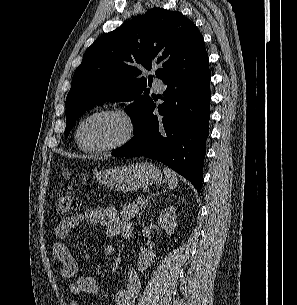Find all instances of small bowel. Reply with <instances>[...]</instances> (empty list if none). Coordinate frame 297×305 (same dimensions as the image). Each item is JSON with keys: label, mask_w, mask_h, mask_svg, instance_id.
Instances as JSON below:
<instances>
[{"label": "small bowel", "mask_w": 297, "mask_h": 305, "mask_svg": "<svg viewBox=\"0 0 297 305\" xmlns=\"http://www.w3.org/2000/svg\"><path fill=\"white\" fill-rule=\"evenodd\" d=\"M84 223L95 224L105 229L107 236H123V232L131 228L129 222L120 218L118 211L112 207H89L60 221L53 230L52 252L60 263V275L66 281L69 291L74 295H94L99 293L96 281L90 276L78 275V265L69 248L64 243L70 230ZM107 255L115 252L112 244L105 246ZM141 289V281L134 268L125 273V288L115 295V305H134ZM70 305H78L77 301Z\"/></svg>", "instance_id": "obj_1"}]
</instances>
